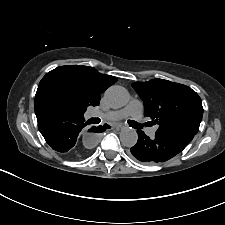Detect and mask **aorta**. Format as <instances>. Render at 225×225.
Masks as SVG:
<instances>
[{
    "label": "aorta",
    "mask_w": 225,
    "mask_h": 225,
    "mask_svg": "<svg viewBox=\"0 0 225 225\" xmlns=\"http://www.w3.org/2000/svg\"><path fill=\"white\" fill-rule=\"evenodd\" d=\"M107 102L111 107L119 108L129 102V93L122 86H111L105 93ZM138 135L136 130L125 127L120 132V141L126 147H132L137 143Z\"/></svg>",
    "instance_id": "1"
}]
</instances>
